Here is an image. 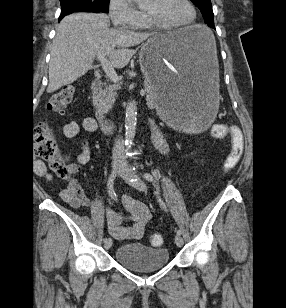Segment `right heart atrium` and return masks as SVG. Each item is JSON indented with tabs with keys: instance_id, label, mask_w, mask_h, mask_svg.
<instances>
[{
	"instance_id": "obj_1",
	"label": "right heart atrium",
	"mask_w": 286,
	"mask_h": 308,
	"mask_svg": "<svg viewBox=\"0 0 286 308\" xmlns=\"http://www.w3.org/2000/svg\"><path fill=\"white\" fill-rule=\"evenodd\" d=\"M108 10L112 24L121 29H135L145 19L129 0H109Z\"/></svg>"
}]
</instances>
